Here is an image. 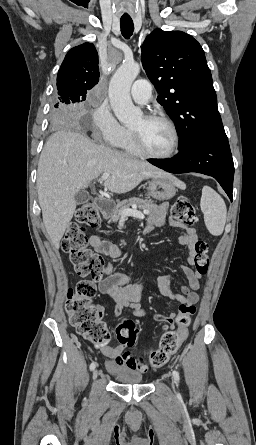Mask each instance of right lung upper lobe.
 <instances>
[{
  "mask_svg": "<svg viewBox=\"0 0 256 445\" xmlns=\"http://www.w3.org/2000/svg\"><path fill=\"white\" fill-rule=\"evenodd\" d=\"M98 64V53L92 43L70 49L58 71V92L70 91L85 99L87 90L92 89L99 81Z\"/></svg>",
  "mask_w": 256,
  "mask_h": 445,
  "instance_id": "cb5924a9",
  "label": "right lung upper lobe"
}]
</instances>
